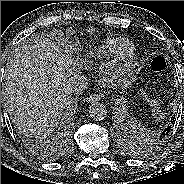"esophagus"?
I'll return each instance as SVG.
<instances>
[{
    "mask_svg": "<svg viewBox=\"0 0 184 184\" xmlns=\"http://www.w3.org/2000/svg\"><path fill=\"white\" fill-rule=\"evenodd\" d=\"M101 98H100V95L99 94H93L91 95L89 98H88V102L89 103H93V102H97L99 101Z\"/></svg>",
    "mask_w": 184,
    "mask_h": 184,
    "instance_id": "esophagus-1",
    "label": "esophagus"
}]
</instances>
